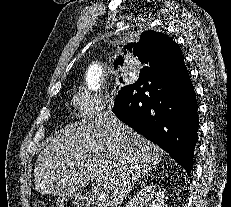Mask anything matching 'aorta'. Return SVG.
Instances as JSON below:
<instances>
[{"label":"aorta","mask_w":231,"mask_h":207,"mask_svg":"<svg viewBox=\"0 0 231 207\" xmlns=\"http://www.w3.org/2000/svg\"><path fill=\"white\" fill-rule=\"evenodd\" d=\"M102 75V67L98 63L92 64L87 72V84L89 89L97 90L100 86V77Z\"/></svg>","instance_id":"obj_1"}]
</instances>
